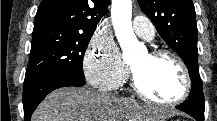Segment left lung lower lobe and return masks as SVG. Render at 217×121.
I'll use <instances>...</instances> for the list:
<instances>
[{
	"instance_id": "obj_1",
	"label": "left lung lower lobe",
	"mask_w": 217,
	"mask_h": 121,
	"mask_svg": "<svg viewBox=\"0 0 217 121\" xmlns=\"http://www.w3.org/2000/svg\"><path fill=\"white\" fill-rule=\"evenodd\" d=\"M177 109L189 114L190 116L194 117L197 121H203L204 116L199 114L197 108L195 107L192 100H188L178 106H176Z\"/></svg>"
}]
</instances>
